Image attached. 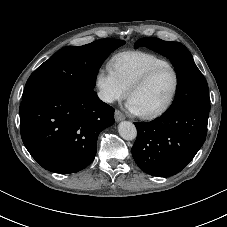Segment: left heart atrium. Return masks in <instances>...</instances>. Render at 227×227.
<instances>
[{
  "mask_svg": "<svg viewBox=\"0 0 227 227\" xmlns=\"http://www.w3.org/2000/svg\"><path fill=\"white\" fill-rule=\"evenodd\" d=\"M126 107L132 113H135V114L140 113L138 108L136 107L135 103L130 98L126 103Z\"/></svg>",
  "mask_w": 227,
  "mask_h": 227,
  "instance_id": "left-heart-atrium-1",
  "label": "left heart atrium"
}]
</instances>
